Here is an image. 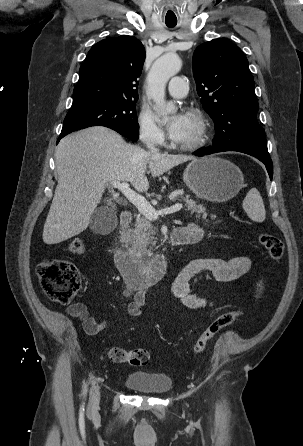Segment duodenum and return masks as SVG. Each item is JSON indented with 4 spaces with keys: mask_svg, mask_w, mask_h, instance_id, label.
Instances as JSON below:
<instances>
[{
    "mask_svg": "<svg viewBox=\"0 0 303 446\" xmlns=\"http://www.w3.org/2000/svg\"><path fill=\"white\" fill-rule=\"evenodd\" d=\"M132 217L130 211H123L120 215L121 227L126 228L131 223ZM190 243L192 239L181 228H177L167 238L166 251L156 254L149 260H142L119 249L114 253L115 264L123 274L127 286L130 289H140L151 285L166 273L173 249Z\"/></svg>",
    "mask_w": 303,
    "mask_h": 446,
    "instance_id": "duodenum-1",
    "label": "duodenum"
}]
</instances>
